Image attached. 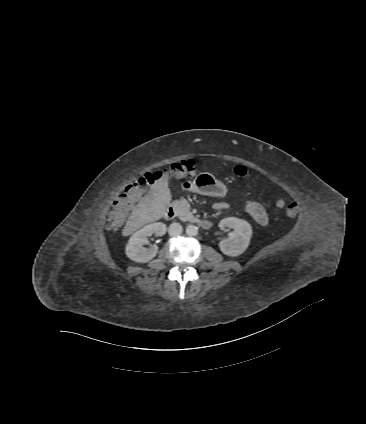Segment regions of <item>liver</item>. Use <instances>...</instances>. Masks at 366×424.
I'll list each match as a JSON object with an SVG mask.
<instances>
[{"label":"liver","mask_w":366,"mask_h":424,"mask_svg":"<svg viewBox=\"0 0 366 424\" xmlns=\"http://www.w3.org/2000/svg\"><path fill=\"white\" fill-rule=\"evenodd\" d=\"M169 180V174L163 173L148 194L140 199L122 230L123 236L131 235L145 224L157 221L164 216L171 202Z\"/></svg>","instance_id":"obj_1"}]
</instances>
